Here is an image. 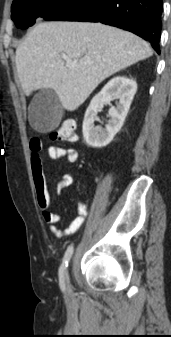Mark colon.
<instances>
[{"label": "colon", "mask_w": 171, "mask_h": 337, "mask_svg": "<svg viewBox=\"0 0 171 337\" xmlns=\"http://www.w3.org/2000/svg\"><path fill=\"white\" fill-rule=\"evenodd\" d=\"M54 141L74 142L77 139L76 122L73 119H66L55 130L50 133Z\"/></svg>", "instance_id": "5ec220e1"}]
</instances>
